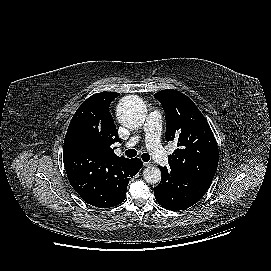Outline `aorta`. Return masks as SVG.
Here are the masks:
<instances>
[{"label": "aorta", "mask_w": 271, "mask_h": 271, "mask_svg": "<svg viewBox=\"0 0 271 271\" xmlns=\"http://www.w3.org/2000/svg\"><path fill=\"white\" fill-rule=\"evenodd\" d=\"M117 118L119 122L129 128H140L146 118V107L137 96L123 97L117 106ZM144 180L149 184H156L161 180V171L158 167L149 166L143 171Z\"/></svg>", "instance_id": "aorta-1"}]
</instances>
